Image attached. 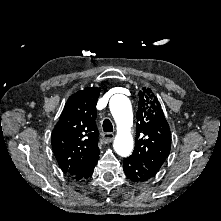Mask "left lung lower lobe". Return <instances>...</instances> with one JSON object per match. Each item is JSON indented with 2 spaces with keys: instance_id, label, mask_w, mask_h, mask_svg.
I'll return each instance as SVG.
<instances>
[{
  "instance_id": "left-lung-lower-lobe-1",
  "label": "left lung lower lobe",
  "mask_w": 221,
  "mask_h": 221,
  "mask_svg": "<svg viewBox=\"0 0 221 221\" xmlns=\"http://www.w3.org/2000/svg\"><path fill=\"white\" fill-rule=\"evenodd\" d=\"M123 168L125 175L133 182H146L153 179L156 175V173L144 167L131 157L125 158Z\"/></svg>"
}]
</instances>
